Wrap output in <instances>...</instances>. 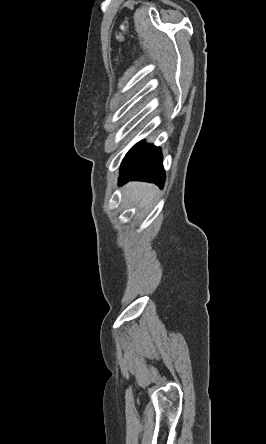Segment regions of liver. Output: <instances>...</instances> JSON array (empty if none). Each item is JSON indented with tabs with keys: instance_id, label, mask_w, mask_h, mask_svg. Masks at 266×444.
Returning <instances> with one entry per match:
<instances>
[{
	"instance_id": "liver-1",
	"label": "liver",
	"mask_w": 266,
	"mask_h": 444,
	"mask_svg": "<svg viewBox=\"0 0 266 444\" xmlns=\"http://www.w3.org/2000/svg\"><path fill=\"white\" fill-rule=\"evenodd\" d=\"M157 188L152 184L132 182L125 186V194L139 207H146L154 199Z\"/></svg>"
}]
</instances>
